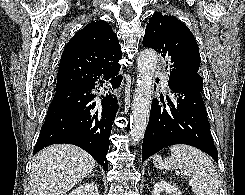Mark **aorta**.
Instances as JSON below:
<instances>
[{
    "label": "aorta",
    "instance_id": "762f6f07",
    "mask_svg": "<svg viewBox=\"0 0 245 195\" xmlns=\"http://www.w3.org/2000/svg\"><path fill=\"white\" fill-rule=\"evenodd\" d=\"M157 64L153 49H145L137 59L138 79L132 103L130 136L138 143L143 138L151 107L152 82Z\"/></svg>",
    "mask_w": 245,
    "mask_h": 195
}]
</instances>
